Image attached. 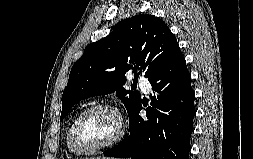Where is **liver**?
Segmentation results:
<instances>
[{
	"mask_svg": "<svg viewBox=\"0 0 253 159\" xmlns=\"http://www.w3.org/2000/svg\"><path fill=\"white\" fill-rule=\"evenodd\" d=\"M84 159H110V158H106V157H92V158H84Z\"/></svg>",
	"mask_w": 253,
	"mask_h": 159,
	"instance_id": "1",
	"label": "liver"
}]
</instances>
